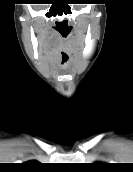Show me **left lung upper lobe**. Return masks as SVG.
Instances as JSON below:
<instances>
[{"mask_svg":"<svg viewBox=\"0 0 133 172\" xmlns=\"http://www.w3.org/2000/svg\"><path fill=\"white\" fill-rule=\"evenodd\" d=\"M92 165L96 168H104V167H106L107 164L101 163V162H96V163H93Z\"/></svg>","mask_w":133,"mask_h":172,"instance_id":"1","label":"left lung upper lobe"}]
</instances>
